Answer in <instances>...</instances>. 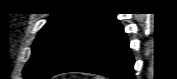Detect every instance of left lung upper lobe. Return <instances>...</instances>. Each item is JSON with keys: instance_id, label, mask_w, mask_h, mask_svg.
<instances>
[{"instance_id": "left-lung-upper-lobe-1", "label": "left lung upper lobe", "mask_w": 177, "mask_h": 79, "mask_svg": "<svg viewBox=\"0 0 177 79\" xmlns=\"http://www.w3.org/2000/svg\"><path fill=\"white\" fill-rule=\"evenodd\" d=\"M109 14L53 13L39 31L23 73L25 79H49L72 48Z\"/></svg>"}]
</instances>
